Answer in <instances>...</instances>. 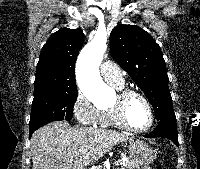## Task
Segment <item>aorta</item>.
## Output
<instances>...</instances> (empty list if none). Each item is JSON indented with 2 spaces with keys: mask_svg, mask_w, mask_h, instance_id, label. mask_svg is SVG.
<instances>
[{
  "mask_svg": "<svg viewBox=\"0 0 200 169\" xmlns=\"http://www.w3.org/2000/svg\"><path fill=\"white\" fill-rule=\"evenodd\" d=\"M105 36L96 35L80 52L76 76L83 94L91 101L106 99L110 88L104 83L99 73V66L107 49Z\"/></svg>",
  "mask_w": 200,
  "mask_h": 169,
  "instance_id": "obj_1",
  "label": "aorta"
}]
</instances>
